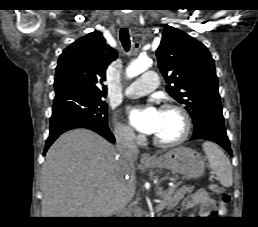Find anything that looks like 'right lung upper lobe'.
Returning a JSON list of instances; mask_svg holds the SVG:
<instances>
[{"mask_svg":"<svg viewBox=\"0 0 258 227\" xmlns=\"http://www.w3.org/2000/svg\"><path fill=\"white\" fill-rule=\"evenodd\" d=\"M117 52L105 43L98 31L87 34L68 46L60 55L55 74V93L82 92L105 96L103 85L108 65Z\"/></svg>","mask_w":258,"mask_h":227,"instance_id":"obj_1","label":"right lung upper lobe"}]
</instances>
